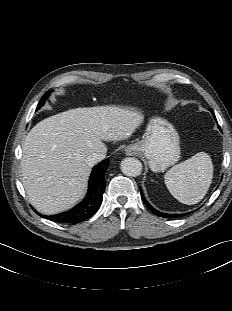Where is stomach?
<instances>
[{"instance_id": "1", "label": "stomach", "mask_w": 232, "mask_h": 311, "mask_svg": "<svg viewBox=\"0 0 232 311\" xmlns=\"http://www.w3.org/2000/svg\"><path fill=\"white\" fill-rule=\"evenodd\" d=\"M126 150L142 153L153 172H163L180 158V137L171 123L154 117L149 121L143 139L128 145Z\"/></svg>"}]
</instances>
